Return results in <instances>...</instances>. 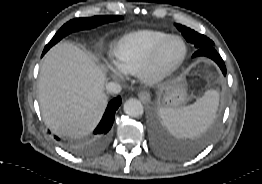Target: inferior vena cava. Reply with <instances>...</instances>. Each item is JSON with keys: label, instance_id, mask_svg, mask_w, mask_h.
I'll use <instances>...</instances> for the list:
<instances>
[{"label": "inferior vena cava", "instance_id": "inferior-vena-cava-1", "mask_svg": "<svg viewBox=\"0 0 262 184\" xmlns=\"http://www.w3.org/2000/svg\"><path fill=\"white\" fill-rule=\"evenodd\" d=\"M106 90L110 94H119L122 90L120 84L116 82H109L106 84Z\"/></svg>", "mask_w": 262, "mask_h": 184}]
</instances>
